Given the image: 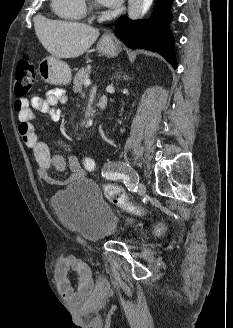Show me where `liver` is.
<instances>
[{"label": "liver", "instance_id": "6515ba94", "mask_svg": "<svg viewBox=\"0 0 233 328\" xmlns=\"http://www.w3.org/2000/svg\"><path fill=\"white\" fill-rule=\"evenodd\" d=\"M35 32L43 47L56 58H76L84 54L99 36V31L77 22L34 19Z\"/></svg>", "mask_w": 233, "mask_h": 328}]
</instances>
